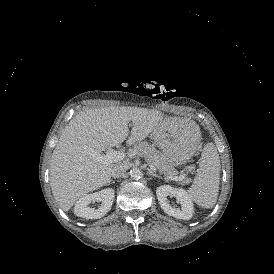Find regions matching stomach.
Returning a JSON list of instances; mask_svg holds the SVG:
<instances>
[{
  "instance_id": "stomach-1",
  "label": "stomach",
  "mask_w": 274,
  "mask_h": 274,
  "mask_svg": "<svg viewBox=\"0 0 274 274\" xmlns=\"http://www.w3.org/2000/svg\"><path fill=\"white\" fill-rule=\"evenodd\" d=\"M194 125L195 122H178L166 117L161 128L153 132L156 145L176 166L185 164L197 149L200 130L198 127L194 130Z\"/></svg>"
}]
</instances>
